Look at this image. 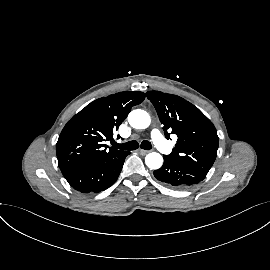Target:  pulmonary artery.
Instances as JSON below:
<instances>
[{"mask_svg":"<svg viewBox=\"0 0 270 270\" xmlns=\"http://www.w3.org/2000/svg\"><path fill=\"white\" fill-rule=\"evenodd\" d=\"M151 138L156 145V147L162 151L163 153H170L172 150V147L170 144L165 140V138L162 136L160 131L158 129H153L151 131Z\"/></svg>","mask_w":270,"mask_h":270,"instance_id":"e3ab8cb5","label":"pulmonary artery"}]
</instances>
